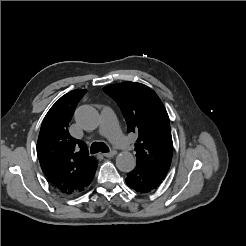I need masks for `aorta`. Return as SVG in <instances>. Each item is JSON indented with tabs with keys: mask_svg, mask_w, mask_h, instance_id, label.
Here are the masks:
<instances>
[{
	"mask_svg": "<svg viewBox=\"0 0 246 246\" xmlns=\"http://www.w3.org/2000/svg\"><path fill=\"white\" fill-rule=\"evenodd\" d=\"M75 120L84 130H94L99 125V114L92 106H81L75 112ZM136 164L135 157L127 151L116 157V166L122 172H130Z\"/></svg>",
	"mask_w": 246,
	"mask_h": 246,
	"instance_id": "aorta-1",
	"label": "aorta"
}]
</instances>
